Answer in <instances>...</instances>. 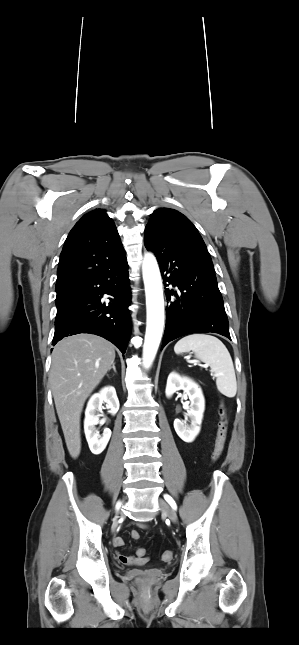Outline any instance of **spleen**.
I'll list each match as a JSON object with an SVG mask.
<instances>
[{"mask_svg":"<svg viewBox=\"0 0 299 645\" xmlns=\"http://www.w3.org/2000/svg\"><path fill=\"white\" fill-rule=\"evenodd\" d=\"M176 354L193 351L196 358L206 363L216 377L219 392L232 398L237 392L235 370L226 346L208 334H191L180 339L174 346Z\"/></svg>","mask_w":299,"mask_h":645,"instance_id":"3e777b00","label":"spleen"}]
</instances>
